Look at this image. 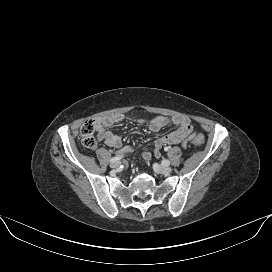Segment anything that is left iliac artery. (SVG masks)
Instances as JSON below:
<instances>
[{
    "mask_svg": "<svg viewBox=\"0 0 272 272\" xmlns=\"http://www.w3.org/2000/svg\"><path fill=\"white\" fill-rule=\"evenodd\" d=\"M166 150H168V149H166ZM162 164L165 165V166H169L170 162H169V160L165 159V160L162 161Z\"/></svg>",
    "mask_w": 272,
    "mask_h": 272,
    "instance_id": "obj_1",
    "label": "left iliac artery"
}]
</instances>
